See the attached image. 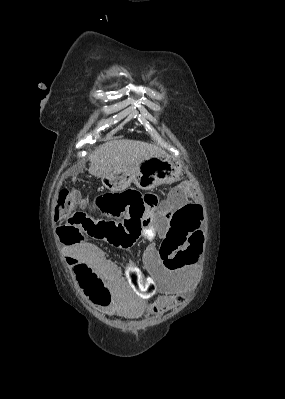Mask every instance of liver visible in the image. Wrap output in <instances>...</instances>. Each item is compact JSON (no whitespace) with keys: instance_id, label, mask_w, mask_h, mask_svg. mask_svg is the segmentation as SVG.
I'll return each instance as SVG.
<instances>
[{"instance_id":"liver-1","label":"liver","mask_w":285,"mask_h":399,"mask_svg":"<svg viewBox=\"0 0 285 399\" xmlns=\"http://www.w3.org/2000/svg\"><path fill=\"white\" fill-rule=\"evenodd\" d=\"M162 154L159 147L146 142L113 140L99 146L89 155V172L96 177H102L112 170L130 168L150 156Z\"/></svg>"}]
</instances>
